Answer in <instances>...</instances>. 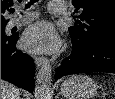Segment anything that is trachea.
<instances>
[{
	"instance_id": "3493384b",
	"label": "trachea",
	"mask_w": 115,
	"mask_h": 99,
	"mask_svg": "<svg viewBox=\"0 0 115 99\" xmlns=\"http://www.w3.org/2000/svg\"><path fill=\"white\" fill-rule=\"evenodd\" d=\"M37 0H31L29 4L26 5V8L30 7L31 4L35 3ZM12 12H14V9H12Z\"/></svg>"
}]
</instances>
